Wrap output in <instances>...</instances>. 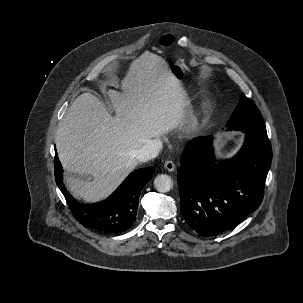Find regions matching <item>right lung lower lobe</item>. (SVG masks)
<instances>
[{
  "instance_id": "right-lung-lower-lobe-1",
  "label": "right lung lower lobe",
  "mask_w": 303,
  "mask_h": 303,
  "mask_svg": "<svg viewBox=\"0 0 303 303\" xmlns=\"http://www.w3.org/2000/svg\"><path fill=\"white\" fill-rule=\"evenodd\" d=\"M55 180L63 193L73 216L85 227L107 233H120L130 228L136 220V211L142 188L152 178L154 169L148 167L131 173L118 189L105 201L80 204L65 189L63 168L55 154Z\"/></svg>"
}]
</instances>
